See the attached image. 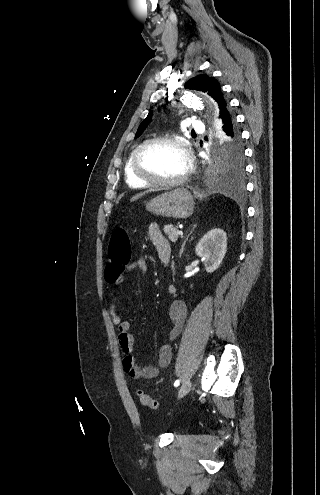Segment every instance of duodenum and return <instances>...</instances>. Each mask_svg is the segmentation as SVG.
<instances>
[{"label":"duodenum","mask_w":320,"mask_h":495,"mask_svg":"<svg viewBox=\"0 0 320 495\" xmlns=\"http://www.w3.org/2000/svg\"><path fill=\"white\" fill-rule=\"evenodd\" d=\"M170 255H171V250L170 247L167 249H164L163 251L160 252L159 257L163 264L167 265L170 261Z\"/></svg>","instance_id":"duodenum-1"}]
</instances>
